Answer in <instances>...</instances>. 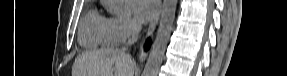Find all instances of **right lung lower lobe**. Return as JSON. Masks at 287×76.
Returning a JSON list of instances; mask_svg holds the SVG:
<instances>
[{"mask_svg":"<svg viewBox=\"0 0 287 76\" xmlns=\"http://www.w3.org/2000/svg\"><path fill=\"white\" fill-rule=\"evenodd\" d=\"M150 47V40L148 39L145 45V50H147Z\"/></svg>","mask_w":287,"mask_h":76,"instance_id":"right-lung-lower-lobe-1","label":"right lung lower lobe"}]
</instances>
